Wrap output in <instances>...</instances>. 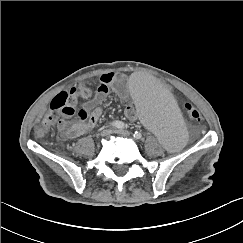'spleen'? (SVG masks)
<instances>
[{"mask_svg": "<svg viewBox=\"0 0 243 243\" xmlns=\"http://www.w3.org/2000/svg\"><path fill=\"white\" fill-rule=\"evenodd\" d=\"M126 92L135 101L134 114L147 126L156 142L168 151L183 149L190 137L180 107L166 86L147 71H136L126 81Z\"/></svg>", "mask_w": 243, "mask_h": 243, "instance_id": "spleen-1", "label": "spleen"}]
</instances>
